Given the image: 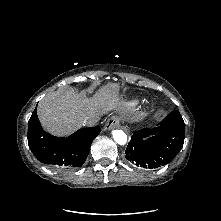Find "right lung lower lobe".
Masks as SVG:
<instances>
[{
    "instance_id": "obj_1",
    "label": "right lung lower lobe",
    "mask_w": 221,
    "mask_h": 221,
    "mask_svg": "<svg viewBox=\"0 0 221 221\" xmlns=\"http://www.w3.org/2000/svg\"><path fill=\"white\" fill-rule=\"evenodd\" d=\"M100 131L92 127L78 130L67 138L54 137L42 129L35 109L28 122V145L42 163L70 170L85 162L91 143Z\"/></svg>"
}]
</instances>
